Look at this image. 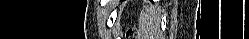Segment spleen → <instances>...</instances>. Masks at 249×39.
I'll return each instance as SVG.
<instances>
[{
  "label": "spleen",
  "mask_w": 249,
  "mask_h": 39,
  "mask_svg": "<svg viewBox=\"0 0 249 39\" xmlns=\"http://www.w3.org/2000/svg\"><path fill=\"white\" fill-rule=\"evenodd\" d=\"M161 10L156 6L144 5L139 19L138 36L155 39L160 34Z\"/></svg>",
  "instance_id": "obj_1"
}]
</instances>
